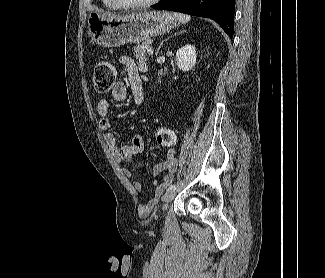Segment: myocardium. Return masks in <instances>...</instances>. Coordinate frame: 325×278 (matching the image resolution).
Returning <instances> with one entry per match:
<instances>
[{
  "label": "myocardium",
  "instance_id": "1",
  "mask_svg": "<svg viewBox=\"0 0 325 278\" xmlns=\"http://www.w3.org/2000/svg\"><path fill=\"white\" fill-rule=\"evenodd\" d=\"M117 6L124 9H142L155 5L160 0H146L143 2H129L126 0H112Z\"/></svg>",
  "mask_w": 325,
  "mask_h": 278
}]
</instances>
